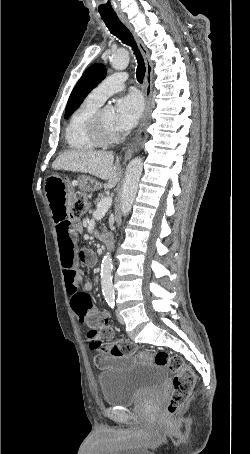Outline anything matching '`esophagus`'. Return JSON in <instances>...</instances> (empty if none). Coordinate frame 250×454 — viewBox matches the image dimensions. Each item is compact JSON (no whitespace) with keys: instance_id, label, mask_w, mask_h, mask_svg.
<instances>
[{"instance_id":"34e87169","label":"esophagus","mask_w":250,"mask_h":454,"mask_svg":"<svg viewBox=\"0 0 250 454\" xmlns=\"http://www.w3.org/2000/svg\"><path fill=\"white\" fill-rule=\"evenodd\" d=\"M119 18L134 35V38L138 44V47H139V49L143 55L144 61H145L146 73H145V79H144V96H145L146 109H145V113L143 116V121H142V123L139 127V131H138L139 133H141L146 124L147 118L149 117L150 111H151L153 65L149 58L148 49L145 47V45L143 44L141 39L136 35L133 27L131 26V24L129 23L127 18L124 15H119ZM128 155H131V154H127V156Z\"/></svg>"}]
</instances>
